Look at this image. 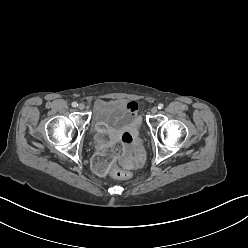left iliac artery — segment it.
<instances>
[{
  "label": "left iliac artery",
  "instance_id": "1",
  "mask_svg": "<svg viewBox=\"0 0 248 248\" xmlns=\"http://www.w3.org/2000/svg\"><path fill=\"white\" fill-rule=\"evenodd\" d=\"M163 106H164V105H163L162 103L158 104V109H162Z\"/></svg>",
  "mask_w": 248,
  "mask_h": 248
}]
</instances>
